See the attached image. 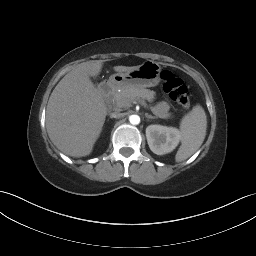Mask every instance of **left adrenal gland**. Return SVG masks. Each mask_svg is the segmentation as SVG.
Returning <instances> with one entry per match:
<instances>
[{
  "instance_id": "a2214340",
  "label": "left adrenal gland",
  "mask_w": 256,
  "mask_h": 256,
  "mask_svg": "<svg viewBox=\"0 0 256 256\" xmlns=\"http://www.w3.org/2000/svg\"><path fill=\"white\" fill-rule=\"evenodd\" d=\"M145 117L148 119H155V116L149 115L148 113L145 114Z\"/></svg>"
}]
</instances>
